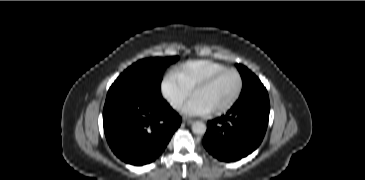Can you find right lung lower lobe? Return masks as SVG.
Returning a JSON list of instances; mask_svg holds the SVG:
<instances>
[{"label": "right lung lower lobe", "mask_w": 365, "mask_h": 180, "mask_svg": "<svg viewBox=\"0 0 365 180\" xmlns=\"http://www.w3.org/2000/svg\"><path fill=\"white\" fill-rule=\"evenodd\" d=\"M181 117L161 92L129 91L106 99L104 132L112 151L126 163L144 165L166 148Z\"/></svg>", "instance_id": "98d812e1"}]
</instances>
